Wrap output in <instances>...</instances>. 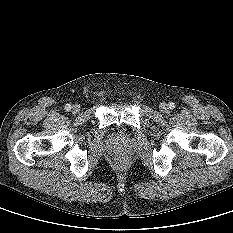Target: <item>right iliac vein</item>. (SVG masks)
I'll use <instances>...</instances> for the list:
<instances>
[{
    "label": "right iliac vein",
    "mask_w": 233,
    "mask_h": 233,
    "mask_svg": "<svg viewBox=\"0 0 233 233\" xmlns=\"http://www.w3.org/2000/svg\"><path fill=\"white\" fill-rule=\"evenodd\" d=\"M80 105H78V104H74L72 107H71V111H72V113H74V114H77V113H79L80 112Z\"/></svg>",
    "instance_id": "1"
}]
</instances>
